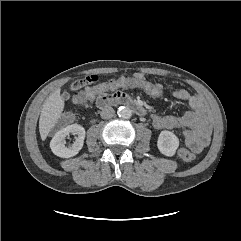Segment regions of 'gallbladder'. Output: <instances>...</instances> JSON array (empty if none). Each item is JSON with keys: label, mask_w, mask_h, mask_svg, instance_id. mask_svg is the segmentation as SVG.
I'll list each match as a JSON object with an SVG mask.
<instances>
[{"label": "gallbladder", "mask_w": 241, "mask_h": 241, "mask_svg": "<svg viewBox=\"0 0 241 241\" xmlns=\"http://www.w3.org/2000/svg\"><path fill=\"white\" fill-rule=\"evenodd\" d=\"M62 98H63L64 100H68V99L70 98V94H69L68 92H64V93L62 94Z\"/></svg>", "instance_id": "1"}]
</instances>
